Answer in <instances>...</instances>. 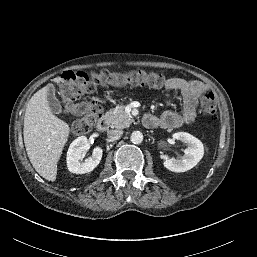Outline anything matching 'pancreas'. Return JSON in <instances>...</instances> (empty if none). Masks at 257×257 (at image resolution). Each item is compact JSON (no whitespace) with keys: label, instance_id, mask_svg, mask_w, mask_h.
I'll return each instance as SVG.
<instances>
[{"label":"pancreas","instance_id":"cf45deb5","mask_svg":"<svg viewBox=\"0 0 257 257\" xmlns=\"http://www.w3.org/2000/svg\"><path fill=\"white\" fill-rule=\"evenodd\" d=\"M124 108L125 106L120 104L106 113V120L112 128H126L132 123V116L126 113Z\"/></svg>","mask_w":257,"mask_h":257}]
</instances>
